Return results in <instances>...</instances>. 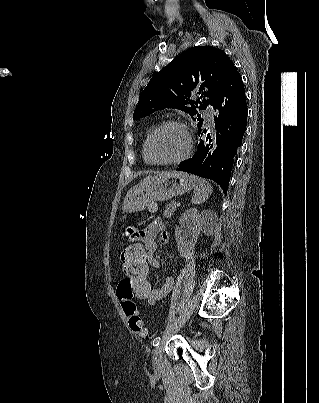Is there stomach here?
<instances>
[{"label":"stomach","instance_id":"obj_1","mask_svg":"<svg viewBox=\"0 0 319 403\" xmlns=\"http://www.w3.org/2000/svg\"><path fill=\"white\" fill-rule=\"evenodd\" d=\"M195 185L189 174L184 172H163L145 179L129 190L124 200V212L144 210L151 203L166 201L184 194Z\"/></svg>","mask_w":319,"mask_h":403}]
</instances>
